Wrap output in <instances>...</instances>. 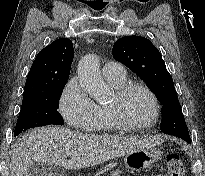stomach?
Masks as SVG:
<instances>
[{
    "label": "stomach",
    "mask_w": 205,
    "mask_h": 176,
    "mask_svg": "<svg viewBox=\"0 0 205 176\" xmlns=\"http://www.w3.org/2000/svg\"><path fill=\"white\" fill-rule=\"evenodd\" d=\"M161 156L162 151L160 149L145 148L127 154L124 158V163L131 170L141 171L160 160Z\"/></svg>",
    "instance_id": "1"
}]
</instances>
